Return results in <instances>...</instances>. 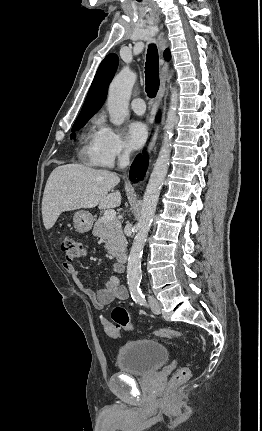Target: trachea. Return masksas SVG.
<instances>
[{
  "mask_svg": "<svg viewBox=\"0 0 262 431\" xmlns=\"http://www.w3.org/2000/svg\"><path fill=\"white\" fill-rule=\"evenodd\" d=\"M146 93L154 98L159 89V57L157 47L150 44L145 65Z\"/></svg>",
  "mask_w": 262,
  "mask_h": 431,
  "instance_id": "obj_1",
  "label": "trachea"
}]
</instances>
